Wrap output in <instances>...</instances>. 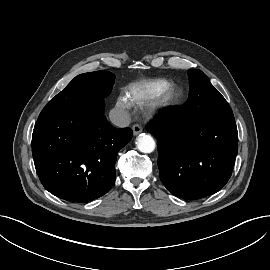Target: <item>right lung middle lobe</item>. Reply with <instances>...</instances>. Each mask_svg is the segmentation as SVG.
<instances>
[{"label": "right lung middle lobe", "mask_w": 270, "mask_h": 270, "mask_svg": "<svg viewBox=\"0 0 270 270\" xmlns=\"http://www.w3.org/2000/svg\"><path fill=\"white\" fill-rule=\"evenodd\" d=\"M115 76L108 71L76 76L64 90L52 98L41 113L86 107L104 101L113 87Z\"/></svg>", "instance_id": "1"}]
</instances>
